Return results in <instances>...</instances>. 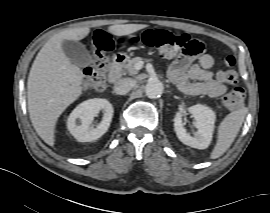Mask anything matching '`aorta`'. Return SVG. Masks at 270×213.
I'll return each instance as SVG.
<instances>
[{
  "label": "aorta",
  "mask_w": 270,
  "mask_h": 213,
  "mask_svg": "<svg viewBox=\"0 0 270 213\" xmlns=\"http://www.w3.org/2000/svg\"><path fill=\"white\" fill-rule=\"evenodd\" d=\"M163 90V83L158 79L149 80L145 87V93L147 97L151 99L160 97L163 93Z\"/></svg>",
  "instance_id": "aorta-1"
}]
</instances>
